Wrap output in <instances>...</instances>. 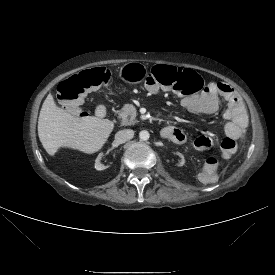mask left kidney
Masks as SVG:
<instances>
[{"instance_id": "left-kidney-1", "label": "left kidney", "mask_w": 275, "mask_h": 275, "mask_svg": "<svg viewBox=\"0 0 275 275\" xmlns=\"http://www.w3.org/2000/svg\"><path fill=\"white\" fill-rule=\"evenodd\" d=\"M177 154L180 157L179 166H183L185 164L184 156L181 153H177Z\"/></svg>"}]
</instances>
